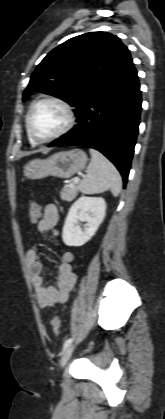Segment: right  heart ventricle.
I'll return each instance as SVG.
<instances>
[{
  "mask_svg": "<svg viewBox=\"0 0 165 419\" xmlns=\"http://www.w3.org/2000/svg\"><path fill=\"white\" fill-rule=\"evenodd\" d=\"M28 139H29V141H30V143L32 144V145H35L36 143L32 140V138L30 137V135L28 134Z\"/></svg>",
  "mask_w": 165,
  "mask_h": 419,
  "instance_id": "1",
  "label": "right heart ventricle"
}]
</instances>
